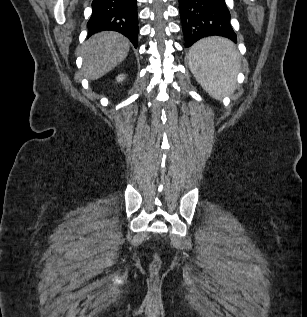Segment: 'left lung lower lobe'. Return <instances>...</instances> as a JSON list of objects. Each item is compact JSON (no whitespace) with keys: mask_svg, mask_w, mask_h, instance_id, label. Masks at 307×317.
I'll return each instance as SVG.
<instances>
[{"mask_svg":"<svg viewBox=\"0 0 307 317\" xmlns=\"http://www.w3.org/2000/svg\"><path fill=\"white\" fill-rule=\"evenodd\" d=\"M179 11L186 48L207 36L237 42L225 0H179Z\"/></svg>","mask_w":307,"mask_h":317,"instance_id":"0a47b994","label":"left lung lower lobe"}]
</instances>
